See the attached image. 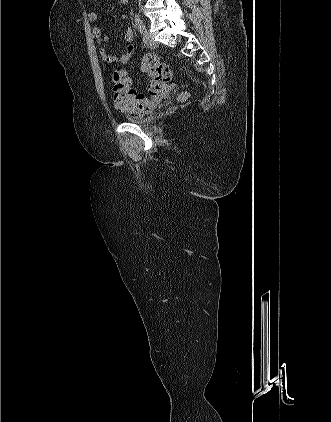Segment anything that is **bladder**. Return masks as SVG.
Instances as JSON below:
<instances>
[{"instance_id":"1","label":"bladder","mask_w":331,"mask_h":422,"mask_svg":"<svg viewBox=\"0 0 331 422\" xmlns=\"http://www.w3.org/2000/svg\"><path fill=\"white\" fill-rule=\"evenodd\" d=\"M126 121H128L129 123H133L136 125H149L153 122L154 120V116L152 111L141 115V116H133V115H127L125 117Z\"/></svg>"}]
</instances>
